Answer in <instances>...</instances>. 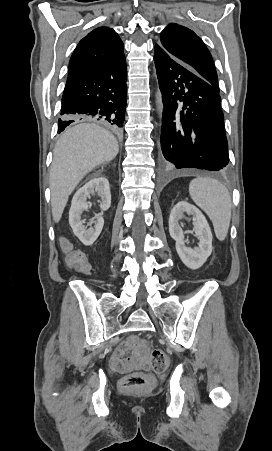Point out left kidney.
<instances>
[{"label":"left kidney","instance_id":"left-kidney-1","mask_svg":"<svg viewBox=\"0 0 272 451\" xmlns=\"http://www.w3.org/2000/svg\"><path fill=\"white\" fill-rule=\"evenodd\" d=\"M184 212L190 214L196 220L194 231L199 237L198 247H187L185 245L183 229L179 226V220L184 218ZM169 233L175 239L176 251L187 267L198 269L205 263L212 251L213 235L205 216L201 214L198 208L191 206L188 202H178L171 210Z\"/></svg>","mask_w":272,"mask_h":451}]
</instances>
